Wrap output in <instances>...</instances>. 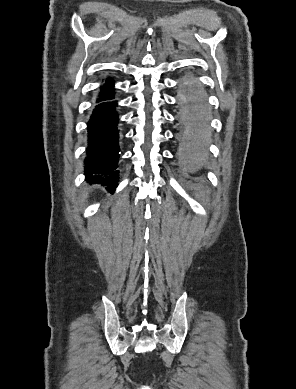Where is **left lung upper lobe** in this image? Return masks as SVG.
Listing matches in <instances>:
<instances>
[{
    "instance_id": "left-lung-upper-lobe-1",
    "label": "left lung upper lobe",
    "mask_w": 296,
    "mask_h": 389,
    "mask_svg": "<svg viewBox=\"0 0 296 389\" xmlns=\"http://www.w3.org/2000/svg\"><path fill=\"white\" fill-rule=\"evenodd\" d=\"M189 85H190L192 88L196 86V84H195V83H192V82H189ZM189 96H190V93L187 95V97H186V99H185L186 102L188 101ZM185 118H186V120H187L188 122H193V120H195V119H194L195 117H194L193 115L189 114V113L186 114Z\"/></svg>"
}]
</instances>
